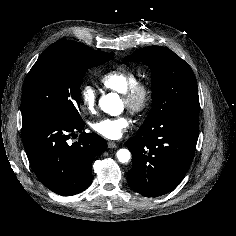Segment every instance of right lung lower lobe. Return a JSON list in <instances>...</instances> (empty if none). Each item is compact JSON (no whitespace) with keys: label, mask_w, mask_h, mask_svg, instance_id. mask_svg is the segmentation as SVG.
<instances>
[{"label":"right lung lower lobe","mask_w":236,"mask_h":236,"mask_svg":"<svg viewBox=\"0 0 236 236\" xmlns=\"http://www.w3.org/2000/svg\"><path fill=\"white\" fill-rule=\"evenodd\" d=\"M82 119L35 116L22 121V141L35 175L51 191L70 196L85 190L92 181L91 164L107 148L95 133L82 132ZM80 132L78 142L68 143Z\"/></svg>","instance_id":"1"}]
</instances>
